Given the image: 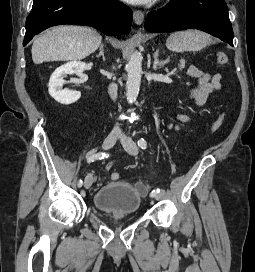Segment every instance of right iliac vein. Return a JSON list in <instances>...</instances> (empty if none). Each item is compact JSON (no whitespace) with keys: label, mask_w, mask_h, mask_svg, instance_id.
Here are the masks:
<instances>
[{"label":"right iliac vein","mask_w":255,"mask_h":272,"mask_svg":"<svg viewBox=\"0 0 255 272\" xmlns=\"http://www.w3.org/2000/svg\"><path fill=\"white\" fill-rule=\"evenodd\" d=\"M117 139H118L117 135L112 134V133L109 134L103 142V145H102L103 149L107 150V149H110L111 147H113L115 145ZM93 181H94L93 175L91 173L88 174L84 180V187L88 189L89 187H91Z\"/></svg>","instance_id":"obj_1"}]
</instances>
